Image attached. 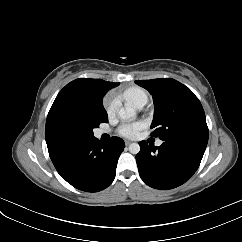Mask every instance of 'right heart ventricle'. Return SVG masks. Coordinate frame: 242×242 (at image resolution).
Returning a JSON list of instances; mask_svg holds the SVG:
<instances>
[{"instance_id":"1","label":"right heart ventricle","mask_w":242,"mask_h":242,"mask_svg":"<svg viewBox=\"0 0 242 242\" xmlns=\"http://www.w3.org/2000/svg\"><path fill=\"white\" fill-rule=\"evenodd\" d=\"M123 98L131 102L136 107L143 101H147L146 92L139 87H132L123 93Z\"/></svg>"}]
</instances>
